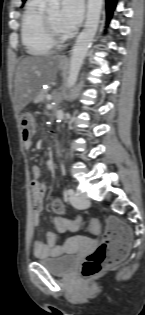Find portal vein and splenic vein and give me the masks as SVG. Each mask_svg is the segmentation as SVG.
<instances>
[{
  "mask_svg": "<svg viewBox=\"0 0 145 315\" xmlns=\"http://www.w3.org/2000/svg\"><path fill=\"white\" fill-rule=\"evenodd\" d=\"M47 99H48V100H51V95H47Z\"/></svg>",
  "mask_w": 145,
  "mask_h": 315,
  "instance_id": "obj_1",
  "label": "portal vein and splenic vein"
}]
</instances>
